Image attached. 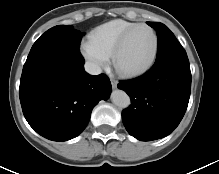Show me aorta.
<instances>
[{"label": "aorta", "mask_w": 219, "mask_h": 174, "mask_svg": "<svg viewBox=\"0 0 219 174\" xmlns=\"http://www.w3.org/2000/svg\"><path fill=\"white\" fill-rule=\"evenodd\" d=\"M111 100L116 106L120 108H127L131 103L128 94L125 91L119 89L114 90L111 93Z\"/></svg>", "instance_id": "1"}]
</instances>
